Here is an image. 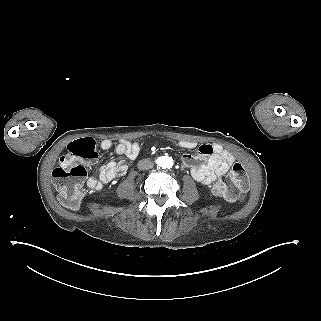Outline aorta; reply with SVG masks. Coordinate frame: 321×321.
Masks as SVG:
<instances>
[{"label": "aorta", "instance_id": "762f6f07", "mask_svg": "<svg viewBox=\"0 0 321 321\" xmlns=\"http://www.w3.org/2000/svg\"><path fill=\"white\" fill-rule=\"evenodd\" d=\"M159 164L162 166V168H171L174 162L171 157L164 156L159 160Z\"/></svg>", "mask_w": 321, "mask_h": 321}]
</instances>
